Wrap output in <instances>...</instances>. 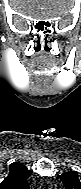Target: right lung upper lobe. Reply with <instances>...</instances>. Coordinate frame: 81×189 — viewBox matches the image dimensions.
I'll use <instances>...</instances> for the list:
<instances>
[{
	"label": "right lung upper lobe",
	"mask_w": 81,
	"mask_h": 189,
	"mask_svg": "<svg viewBox=\"0 0 81 189\" xmlns=\"http://www.w3.org/2000/svg\"><path fill=\"white\" fill-rule=\"evenodd\" d=\"M9 167L10 172L0 183V189H29L27 179L32 172L19 162H14Z\"/></svg>",
	"instance_id": "right-lung-upper-lobe-1"
}]
</instances>
